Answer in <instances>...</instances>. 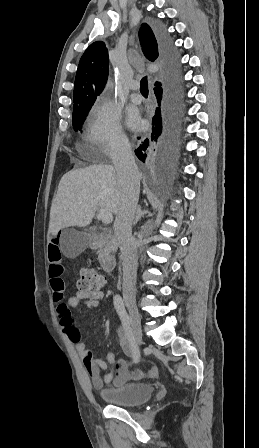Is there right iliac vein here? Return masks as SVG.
Instances as JSON below:
<instances>
[{
  "label": "right iliac vein",
  "instance_id": "1",
  "mask_svg": "<svg viewBox=\"0 0 259 448\" xmlns=\"http://www.w3.org/2000/svg\"><path fill=\"white\" fill-rule=\"evenodd\" d=\"M126 306L130 314L132 332L136 343L140 346L142 342L141 316L134 300L127 299Z\"/></svg>",
  "mask_w": 259,
  "mask_h": 448
}]
</instances>
